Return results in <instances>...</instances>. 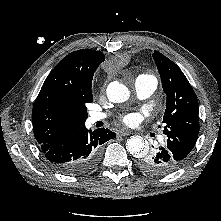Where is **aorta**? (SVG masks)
<instances>
[{"label":"aorta","instance_id":"762f6f07","mask_svg":"<svg viewBox=\"0 0 221 221\" xmlns=\"http://www.w3.org/2000/svg\"><path fill=\"white\" fill-rule=\"evenodd\" d=\"M107 97L114 103H122L130 96L129 89L118 81L111 82L107 87ZM127 151L136 158H141L148 153L147 142L141 136H131L126 142Z\"/></svg>","mask_w":221,"mask_h":221}]
</instances>
